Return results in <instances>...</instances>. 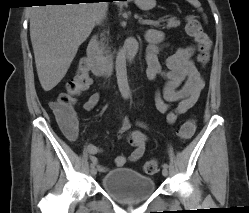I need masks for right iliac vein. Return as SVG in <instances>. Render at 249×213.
Returning a JSON list of instances; mask_svg holds the SVG:
<instances>
[{
    "mask_svg": "<svg viewBox=\"0 0 249 213\" xmlns=\"http://www.w3.org/2000/svg\"><path fill=\"white\" fill-rule=\"evenodd\" d=\"M90 173L95 176L97 174V169L95 167H91Z\"/></svg>",
    "mask_w": 249,
    "mask_h": 213,
    "instance_id": "right-iliac-vein-1",
    "label": "right iliac vein"
}]
</instances>
